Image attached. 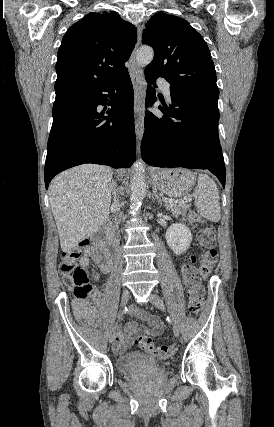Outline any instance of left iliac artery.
<instances>
[{"instance_id":"obj_1","label":"left iliac artery","mask_w":274,"mask_h":427,"mask_svg":"<svg viewBox=\"0 0 274 427\" xmlns=\"http://www.w3.org/2000/svg\"><path fill=\"white\" fill-rule=\"evenodd\" d=\"M166 320H167L168 322H170V317H169V316H167Z\"/></svg>"}]
</instances>
